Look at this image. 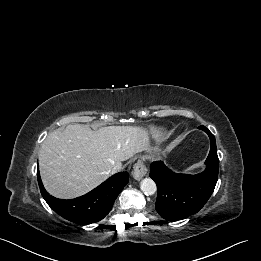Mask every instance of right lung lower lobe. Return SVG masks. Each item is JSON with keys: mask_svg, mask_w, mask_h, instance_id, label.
Instances as JSON below:
<instances>
[{"mask_svg": "<svg viewBox=\"0 0 261 261\" xmlns=\"http://www.w3.org/2000/svg\"><path fill=\"white\" fill-rule=\"evenodd\" d=\"M37 179L43 198L57 214L71 222L86 225L100 221L111 211L115 199L129 181V174L117 173L89 193L70 200L49 195L43 187L39 170Z\"/></svg>", "mask_w": 261, "mask_h": 261, "instance_id": "right-lung-lower-lobe-1", "label": "right lung lower lobe"}]
</instances>
